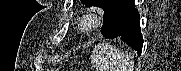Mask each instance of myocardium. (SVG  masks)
I'll list each match as a JSON object with an SVG mask.
<instances>
[{
	"label": "myocardium",
	"mask_w": 181,
	"mask_h": 71,
	"mask_svg": "<svg viewBox=\"0 0 181 71\" xmlns=\"http://www.w3.org/2000/svg\"><path fill=\"white\" fill-rule=\"evenodd\" d=\"M100 25V18L96 13L86 14L80 21L79 27L82 32H91Z\"/></svg>",
	"instance_id": "myocardium-1"
}]
</instances>
